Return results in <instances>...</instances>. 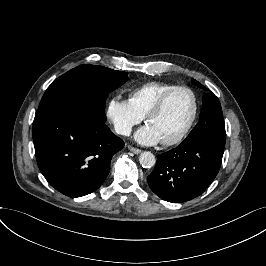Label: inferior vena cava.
Returning a JSON list of instances; mask_svg holds the SVG:
<instances>
[{
	"label": "inferior vena cava",
	"mask_w": 266,
	"mask_h": 266,
	"mask_svg": "<svg viewBox=\"0 0 266 266\" xmlns=\"http://www.w3.org/2000/svg\"><path fill=\"white\" fill-rule=\"evenodd\" d=\"M131 127L130 126H124L122 124H116L115 125V131L118 134L129 136L131 134Z\"/></svg>",
	"instance_id": "obj_1"
}]
</instances>
